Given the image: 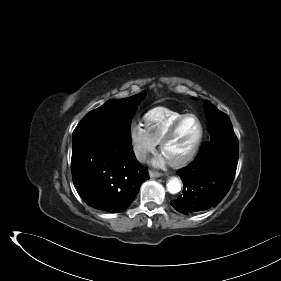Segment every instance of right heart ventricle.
Segmentation results:
<instances>
[{
    "label": "right heart ventricle",
    "instance_id": "e07e8e85",
    "mask_svg": "<svg viewBox=\"0 0 281 281\" xmlns=\"http://www.w3.org/2000/svg\"><path fill=\"white\" fill-rule=\"evenodd\" d=\"M184 114L167 107H155L143 116L144 127L150 137L159 143L171 125Z\"/></svg>",
    "mask_w": 281,
    "mask_h": 281
}]
</instances>
